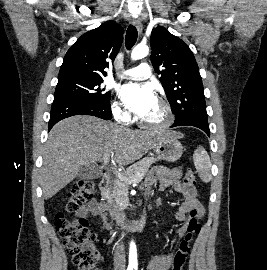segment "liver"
I'll return each instance as SVG.
<instances>
[{"label":"liver","instance_id":"liver-1","mask_svg":"<svg viewBox=\"0 0 267 270\" xmlns=\"http://www.w3.org/2000/svg\"><path fill=\"white\" fill-rule=\"evenodd\" d=\"M170 136L180 138L182 134L131 130L87 115L63 119L52 128L45 144L43 197L56 195L77 177L82 166L95 164L105 156L119 165H129Z\"/></svg>","mask_w":267,"mask_h":270}]
</instances>
